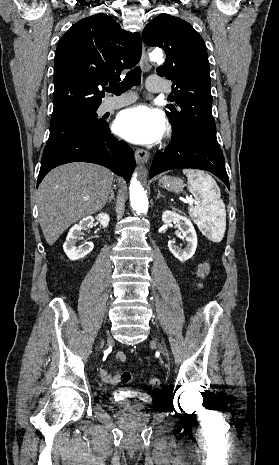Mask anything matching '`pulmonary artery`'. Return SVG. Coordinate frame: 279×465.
I'll return each instance as SVG.
<instances>
[{
    "label": "pulmonary artery",
    "instance_id": "obj_1",
    "mask_svg": "<svg viewBox=\"0 0 279 465\" xmlns=\"http://www.w3.org/2000/svg\"><path fill=\"white\" fill-rule=\"evenodd\" d=\"M147 89L150 92L160 93L164 91V86L160 78H158L157 76H151L149 77L147 81ZM135 100H136V97L133 94H125L120 97L110 98L104 101V103L101 106V111L102 112L111 111V110L123 107L125 105H128L134 102Z\"/></svg>",
    "mask_w": 279,
    "mask_h": 465
}]
</instances>
